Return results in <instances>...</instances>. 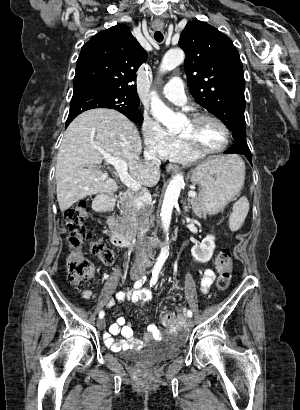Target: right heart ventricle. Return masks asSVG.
<instances>
[{"label":"right heart ventricle","mask_w":300,"mask_h":410,"mask_svg":"<svg viewBox=\"0 0 300 410\" xmlns=\"http://www.w3.org/2000/svg\"><path fill=\"white\" fill-rule=\"evenodd\" d=\"M171 161L178 163H193L199 159V157L192 154L184 145L182 140L176 138V143L169 155L167 156Z\"/></svg>","instance_id":"obj_1"}]
</instances>
